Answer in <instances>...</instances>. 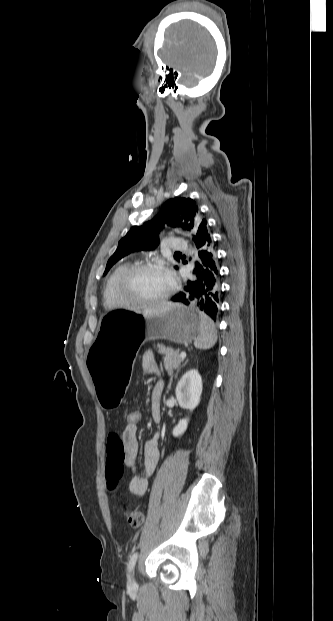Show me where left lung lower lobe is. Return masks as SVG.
<instances>
[{"mask_svg": "<svg viewBox=\"0 0 333 621\" xmlns=\"http://www.w3.org/2000/svg\"><path fill=\"white\" fill-rule=\"evenodd\" d=\"M194 242L199 250V263L194 270L197 280L188 281L186 293L180 292L171 300L189 304L188 300L196 298L200 310L216 320L221 297L220 271L208 225L199 229Z\"/></svg>", "mask_w": 333, "mask_h": 621, "instance_id": "0a47b994", "label": "left lung lower lobe"}]
</instances>
